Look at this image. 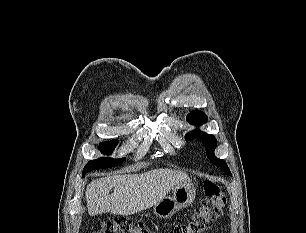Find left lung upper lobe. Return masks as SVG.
Returning a JSON list of instances; mask_svg holds the SVG:
<instances>
[{
    "mask_svg": "<svg viewBox=\"0 0 306 233\" xmlns=\"http://www.w3.org/2000/svg\"><path fill=\"white\" fill-rule=\"evenodd\" d=\"M207 120H208L207 116L203 112L198 111V110L192 111L186 117V121H188L190 124L197 125V126L206 123ZM194 138H197L203 143V145L206 148V153H207V157L209 158V160L217 164L223 171H225L226 174L231 175L226 162L222 159H218L214 155V150L217 146V139L213 135L204 133L200 131L199 129L191 131L185 136L186 140H190Z\"/></svg>",
    "mask_w": 306,
    "mask_h": 233,
    "instance_id": "left-lung-upper-lobe-1",
    "label": "left lung upper lobe"
}]
</instances>
